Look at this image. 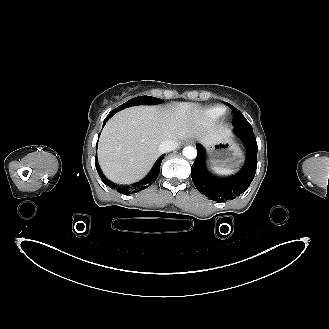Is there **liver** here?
Instances as JSON below:
<instances>
[{
  "label": "liver",
  "mask_w": 329,
  "mask_h": 329,
  "mask_svg": "<svg viewBox=\"0 0 329 329\" xmlns=\"http://www.w3.org/2000/svg\"><path fill=\"white\" fill-rule=\"evenodd\" d=\"M230 136V129L210 124L192 103L174 109L142 106L121 111L104 127L98 160L105 176L119 184L141 179L160 156L159 145L171 139L180 143L194 137L211 144Z\"/></svg>",
  "instance_id": "6515ba94"
}]
</instances>
